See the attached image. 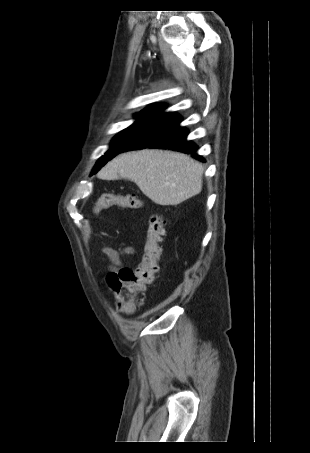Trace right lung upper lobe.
I'll list each match as a JSON object with an SVG mask.
<instances>
[{
	"instance_id": "right-lung-upper-lobe-1",
	"label": "right lung upper lobe",
	"mask_w": 310,
	"mask_h": 453,
	"mask_svg": "<svg viewBox=\"0 0 310 453\" xmlns=\"http://www.w3.org/2000/svg\"><path fill=\"white\" fill-rule=\"evenodd\" d=\"M165 109L164 105L160 104H154L150 105L144 110H142L140 113H138L136 116L137 117H142V118H160L162 115L165 113L162 112Z\"/></svg>"
}]
</instances>
